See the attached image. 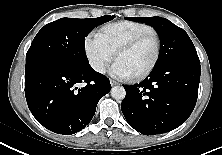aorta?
I'll use <instances>...</instances> for the list:
<instances>
[{
	"instance_id": "aorta-1",
	"label": "aorta",
	"mask_w": 222,
	"mask_h": 155,
	"mask_svg": "<svg viewBox=\"0 0 222 155\" xmlns=\"http://www.w3.org/2000/svg\"><path fill=\"white\" fill-rule=\"evenodd\" d=\"M111 96L116 100H123L126 96V91L123 86H115L111 89Z\"/></svg>"
}]
</instances>
